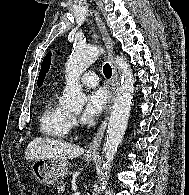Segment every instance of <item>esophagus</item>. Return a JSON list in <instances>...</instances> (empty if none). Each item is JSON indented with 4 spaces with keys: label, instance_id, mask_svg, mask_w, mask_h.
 <instances>
[{
    "label": "esophagus",
    "instance_id": "obj_1",
    "mask_svg": "<svg viewBox=\"0 0 189 195\" xmlns=\"http://www.w3.org/2000/svg\"><path fill=\"white\" fill-rule=\"evenodd\" d=\"M93 12L96 16V19H97V22H98V25H99V29H100V32L102 34L103 41L105 43V47H106V50H107V53H108V57H109V59L111 60V63H112V69H113L112 83H113V86H114L113 87V96H114L115 89L118 87V84H119V80H118V72H117V68H116V64L114 62V56H113V42H112V39L110 37V34H109L108 30L106 29L104 23L102 22L98 12L95 11V10ZM110 109H111V106L108 108V110L106 112V115H105L99 129H98V132L95 134L92 142L88 145V148H87V153L88 154H95L99 149L100 143L103 139V136H104V133H105V130H106V127H107Z\"/></svg>",
    "mask_w": 189,
    "mask_h": 195
}]
</instances>
